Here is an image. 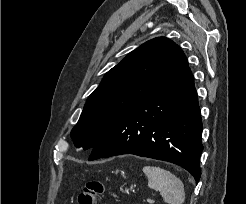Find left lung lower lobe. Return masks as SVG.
<instances>
[{"label":"left lung lower lobe","mask_w":246,"mask_h":204,"mask_svg":"<svg viewBox=\"0 0 246 204\" xmlns=\"http://www.w3.org/2000/svg\"><path fill=\"white\" fill-rule=\"evenodd\" d=\"M202 121L193 75L185 68L115 123L88 160L134 154L177 164L198 183Z\"/></svg>","instance_id":"1"}]
</instances>
